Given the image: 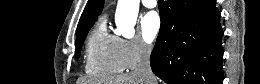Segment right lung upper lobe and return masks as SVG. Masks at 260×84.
<instances>
[{
    "label": "right lung upper lobe",
    "instance_id": "obj_1",
    "mask_svg": "<svg viewBox=\"0 0 260 84\" xmlns=\"http://www.w3.org/2000/svg\"><path fill=\"white\" fill-rule=\"evenodd\" d=\"M103 2L104 0H88L78 23L77 35L96 21L103 8Z\"/></svg>",
    "mask_w": 260,
    "mask_h": 84
}]
</instances>
